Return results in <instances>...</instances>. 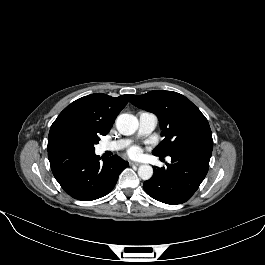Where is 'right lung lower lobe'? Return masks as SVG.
Instances as JSON below:
<instances>
[{
	"label": "right lung lower lobe",
	"instance_id": "right-lung-lower-lobe-1",
	"mask_svg": "<svg viewBox=\"0 0 265 265\" xmlns=\"http://www.w3.org/2000/svg\"><path fill=\"white\" fill-rule=\"evenodd\" d=\"M54 177L66 193L75 199L91 201L108 194L128 162L114 155L101 159L94 151L56 147L48 150Z\"/></svg>",
	"mask_w": 265,
	"mask_h": 265
}]
</instances>
